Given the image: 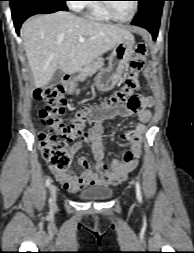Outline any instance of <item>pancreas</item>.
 Listing matches in <instances>:
<instances>
[{"label":"pancreas","instance_id":"cf45deb5","mask_svg":"<svg viewBox=\"0 0 194 253\" xmlns=\"http://www.w3.org/2000/svg\"><path fill=\"white\" fill-rule=\"evenodd\" d=\"M103 66V59L98 57L96 61L86 65L80 73V81H84L87 77L93 75L98 69H101Z\"/></svg>","mask_w":194,"mask_h":253}]
</instances>
